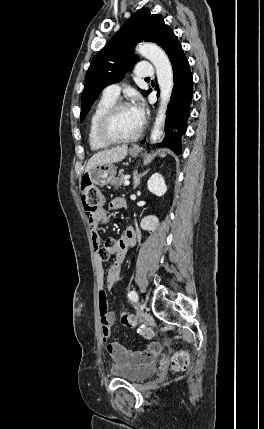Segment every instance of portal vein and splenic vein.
Listing matches in <instances>:
<instances>
[{"instance_id": "obj_1", "label": "portal vein and splenic vein", "mask_w": 264, "mask_h": 429, "mask_svg": "<svg viewBox=\"0 0 264 429\" xmlns=\"http://www.w3.org/2000/svg\"><path fill=\"white\" fill-rule=\"evenodd\" d=\"M129 184H130V181L128 180V178H125L124 185L128 186Z\"/></svg>"}]
</instances>
